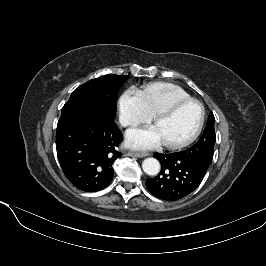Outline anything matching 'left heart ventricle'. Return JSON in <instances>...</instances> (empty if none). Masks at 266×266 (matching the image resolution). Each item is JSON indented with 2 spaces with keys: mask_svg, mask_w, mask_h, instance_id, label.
<instances>
[{
  "mask_svg": "<svg viewBox=\"0 0 266 266\" xmlns=\"http://www.w3.org/2000/svg\"><path fill=\"white\" fill-rule=\"evenodd\" d=\"M200 116L199 105L189 103L172 115L160 119L155 126L164 142H178L186 139L194 132Z\"/></svg>",
  "mask_w": 266,
  "mask_h": 266,
  "instance_id": "1",
  "label": "left heart ventricle"
}]
</instances>
